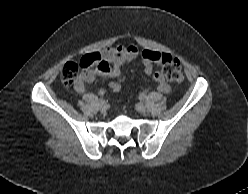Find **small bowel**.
Listing matches in <instances>:
<instances>
[{
	"label": "small bowel",
	"mask_w": 248,
	"mask_h": 194,
	"mask_svg": "<svg viewBox=\"0 0 248 194\" xmlns=\"http://www.w3.org/2000/svg\"><path fill=\"white\" fill-rule=\"evenodd\" d=\"M157 52L152 50L139 49L134 45H120L117 47H108L101 52L94 53L96 58L95 67L86 69L75 84V90L78 93L86 91V85L93 82L98 76L118 77L122 74L123 66L137 58H140L146 73L152 74L157 83V90L161 93H169L170 85L161 72L154 70L155 61L153 56Z\"/></svg>",
	"instance_id": "1"
}]
</instances>
